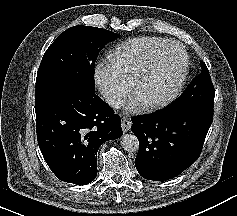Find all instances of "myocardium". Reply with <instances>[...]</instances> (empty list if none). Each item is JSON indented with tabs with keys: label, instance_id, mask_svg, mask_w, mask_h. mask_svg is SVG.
<instances>
[{
	"label": "myocardium",
	"instance_id": "f54148a6",
	"mask_svg": "<svg viewBox=\"0 0 237 216\" xmlns=\"http://www.w3.org/2000/svg\"><path fill=\"white\" fill-rule=\"evenodd\" d=\"M180 58H182V66L177 81L164 96L156 100L145 99L138 96V88L142 75H148L154 68H156L160 64L173 60H179ZM187 64V53L186 51L181 50L168 51L165 53H161L160 55H157L152 59H149L148 62H146L142 67V72L135 78L134 83L132 85L130 92V104L132 109L135 111H139L146 108H157L163 106L168 101L173 99L184 85L186 79Z\"/></svg>",
	"mask_w": 237,
	"mask_h": 216
}]
</instances>
